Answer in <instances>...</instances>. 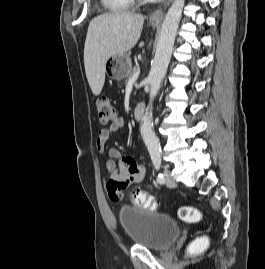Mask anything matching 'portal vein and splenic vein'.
<instances>
[{
	"mask_svg": "<svg viewBox=\"0 0 265 269\" xmlns=\"http://www.w3.org/2000/svg\"><path fill=\"white\" fill-rule=\"evenodd\" d=\"M139 76V71H137L136 73L133 74V76L130 78V80L128 81L129 84H133L136 82V80L138 79Z\"/></svg>",
	"mask_w": 265,
	"mask_h": 269,
	"instance_id": "1",
	"label": "portal vein and splenic vein"
}]
</instances>
